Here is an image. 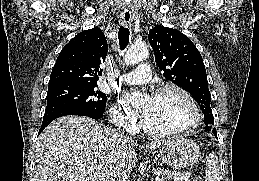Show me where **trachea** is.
Returning a JSON list of instances; mask_svg holds the SVG:
<instances>
[{"label":"trachea","instance_id":"obj_1","mask_svg":"<svg viewBox=\"0 0 259 181\" xmlns=\"http://www.w3.org/2000/svg\"><path fill=\"white\" fill-rule=\"evenodd\" d=\"M129 36H130L129 29L121 26L118 32V39H119L120 49L122 51L127 47L129 43Z\"/></svg>","mask_w":259,"mask_h":181}]
</instances>
